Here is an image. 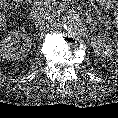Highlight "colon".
Segmentation results:
<instances>
[{
    "instance_id": "5ec220e1",
    "label": "colon",
    "mask_w": 118,
    "mask_h": 118,
    "mask_svg": "<svg viewBox=\"0 0 118 118\" xmlns=\"http://www.w3.org/2000/svg\"><path fill=\"white\" fill-rule=\"evenodd\" d=\"M17 1H21V0H4V3H9V2H17Z\"/></svg>"
}]
</instances>
